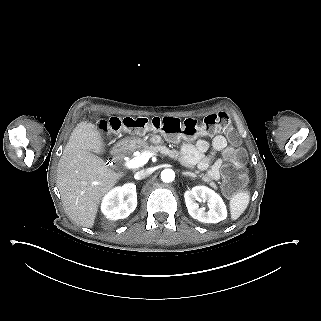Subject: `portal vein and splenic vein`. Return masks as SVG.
<instances>
[{"label":"portal vein and splenic vein","mask_w":321,"mask_h":321,"mask_svg":"<svg viewBox=\"0 0 321 321\" xmlns=\"http://www.w3.org/2000/svg\"><path fill=\"white\" fill-rule=\"evenodd\" d=\"M152 156H157V153L152 151H144L139 156L125 162V166L129 169L139 168L145 165Z\"/></svg>","instance_id":"obj_1"}]
</instances>
